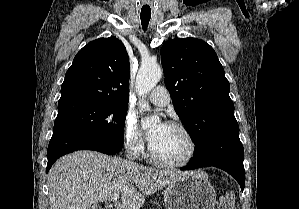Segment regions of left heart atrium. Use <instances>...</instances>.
<instances>
[{"label":"left heart atrium","mask_w":299,"mask_h":209,"mask_svg":"<svg viewBox=\"0 0 299 209\" xmlns=\"http://www.w3.org/2000/svg\"><path fill=\"white\" fill-rule=\"evenodd\" d=\"M164 126L165 125H159L157 129H154L147 134V139L150 145H152L157 140Z\"/></svg>","instance_id":"1"}]
</instances>
